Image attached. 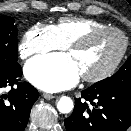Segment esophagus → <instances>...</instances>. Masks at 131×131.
<instances>
[{"label":"esophagus","instance_id":"esophagus-1","mask_svg":"<svg viewBox=\"0 0 131 131\" xmlns=\"http://www.w3.org/2000/svg\"><path fill=\"white\" fill-rule=\"evenodd\" d=\"M43 97H44L46 100H51V99H53L55 96L52 95V94L43 93Z\"/></svg>","mask_w":131,"mask_h":131}]
</instances>
